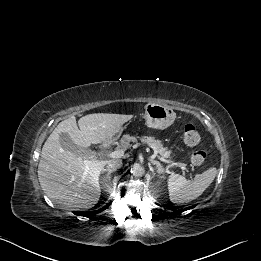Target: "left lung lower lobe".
<instances>
[{"mask_svg":"<svg viewBox=\"0 0 261 261\" xmlns=\"http://www.w3.org/2000/svg\"><path fill=\"white\" fill-rule=\"evenodd\" d=\"M195 206H191V207H188V208H185L184 210H187V209H192V208H194ZM183 209H180V210H178L177 211V213H181V212H183L184 211Z\"/></svg>","mask_w":261,"mask_h":261,"instance_id":"left-lung-lower-lobe-1","label":"left lung lower lobe"}]
</instances>
